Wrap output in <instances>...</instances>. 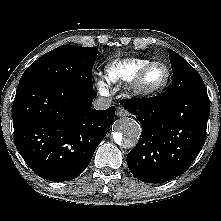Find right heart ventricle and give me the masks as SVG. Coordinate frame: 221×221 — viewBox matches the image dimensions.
<instances>
[{
    "label": "right heart ventricle",
    "mask_w": 221,
    "mask_h": 221,
    "mask_svg": "<svg viewBox=\"0 0 221 221\" xmlns=\"http://www.w3.org/2000/svg\"><path fill=\"white\" fill-rule=\"evenodd\" d=\"M151 62L146 58L114 60L105 67V80L109 84L130 83Z\"/></svg>",
    "instance_id": "obj_1"
}]
</instances>
